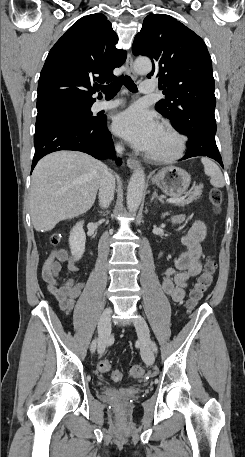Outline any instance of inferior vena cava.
Returning <instances> with one entry per match:
<instances>
[{
    "label": "inferior vena cava",
    "instance_id": "inferior-vena-cava-1",
    "mask_svg": "<svg viewBox=\"0 0 245 457\" xmlns=\"http://www.w3.org/2000/svg\"><path fill=\"white\" fill-rule=\"evenodd\" d=\"M116 150L121 154L122 150H124L121 144H116ZM99 200L101 206H108L111 200H113L114 196V188H115V178L113 174L110 172H106L104 176H102L99 184Z\"/></svg>",
    "mask_w": 245,
    "mask_h": 457
}]
</instances>
